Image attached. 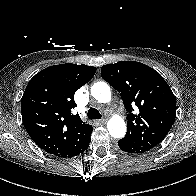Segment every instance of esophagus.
Returning <instances> with one entry per match:
<instances>
[{
  "label": "esophagus",
  "instance_id": "esophagus-1",
  "mask_svg": "<svg viewBox=\"0 0 196 196\" xmlns=\"http://www.w3.org/2000/svg\"><path fill=\"white\" fill-rule=\"evenodd\" d=\"M100 124H106L107 123V119H102L99 121Z\"/></svg>",
  "mask_w": 196,
  "mask_h": 196
}]
</instances>
